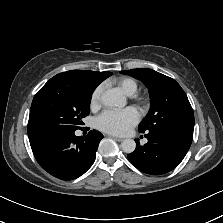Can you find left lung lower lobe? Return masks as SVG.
Segmentation results:
<instances>
[{
  "instance_id": "obj_1",
  "label": "left lung lower lobe",
  "mask_w": 223,
  "mask_h": 223,
  "mask_svg": "<svg viewBox=\"0 0 223 223\" xmlns=\"http://www.w3.org/2000/svg\"><path fill=\"white\" fill-rule=\"evenodd\" d=\"M148 143L128 155L130 162L144 173L160 175L173 170L183 160L192 139L168 132H148Z\"/></svg>"
}]
</instances>
